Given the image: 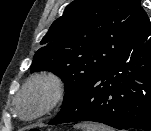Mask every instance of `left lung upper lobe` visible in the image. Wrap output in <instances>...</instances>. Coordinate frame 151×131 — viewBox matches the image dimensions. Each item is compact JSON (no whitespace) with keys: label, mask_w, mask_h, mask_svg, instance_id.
I'll use <instances>...</instances> for the list:
<instances>
[{"label":"left lung upper lobe","mask_w":151,"mask_h":131,"mask_svg":"<svg viewBox=\"0 0 151 131\" xmlns=\"http://www.w3.org/2000/svg\"><path fill=\"white\" fill-rule=\"evenodd\" d=\"M140 9V0H74L43 37L31 72L62 78L64 106L88 79L128 53Z\"/></svg>","instance_id":"5c2ea615"}]
</instances>
